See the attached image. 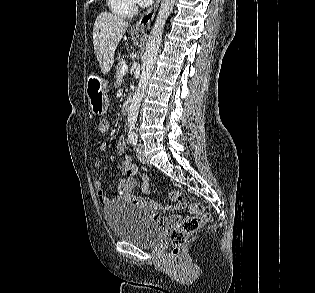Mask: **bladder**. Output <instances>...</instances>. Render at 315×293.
<instances>
[{
	"instance_id": "obj_1",
	"label": "bladder",
	"mask_w": 315,
	"mask_h": 293,
	"mask_svg": "<svg viewBox=\"0 0 315 293\" xmlns=\"http://www.w3.org/2000/svg\"><path fill=\"white\" fill-rule=\"evenodd\" d=\"M104 217L117 240L149 247L160 239L161 230L157 223L144 209L136 205L128 203L110 205L105 209Z\"/></svg>"
}]
</instances>
